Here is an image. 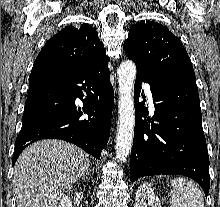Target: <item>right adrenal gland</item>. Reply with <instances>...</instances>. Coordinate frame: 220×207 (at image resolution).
Here are the masks:
<instances>
[{
  "label": "right adrenal gland",
  "mask_w": 220,
  "mask_h": 207,
  "mask_svg": "<svg viewBox=\"0 0 220 207\" xmlns=\"http://www.w3.org/2000/svg\"><path fill=\"white\" fill-rule=\"evenodd\" d=\"M90 172H91V170H88V171L86 172V174H85L82 178L84 179L85 176L88 178V176L90 175Z\"/></svg>",
  "instance_id": "2a0ac1e0"
}]
</instances>
